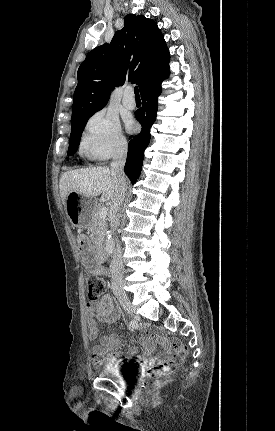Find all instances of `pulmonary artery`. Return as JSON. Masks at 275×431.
<instances>
[{"instance_id":"1","label":"pulmonary artery","mask_w":275,"mask_h":431,"mask_svg":"<svg viewBox=\"0 0 275 431\" xmlns=\"http://www.w3.org/2000/svg\"><path fill=\"white\" fill-rule=\"evenodd\" d=\"M123 105L128 109H134L136 106V101L133 97V91L131 88H127L124 91Z\"/></svg>"}]
</instances>
